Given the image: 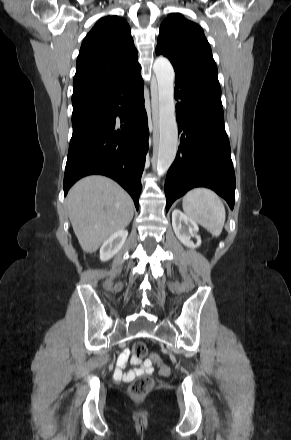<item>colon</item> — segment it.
I'll list each match as a JSON object with an SVG mask.
<instances>
[{"instance_id": "5ec220e1", "label": "colon", "mask_w": 291, "mask_h": 440, "mask_svg": "<svg viewBox=\"0 0 291 440\" xmlns=\"http://www.w3.org/2000/svg\"><path fill=\"white\" fill-rule=\"evenodd\" d=\"M133 354L135 359H143L148 356V350L143 342H135L133 345ZM151 359L157 364L159 372L166 374L169 372V367L165 365L159 357L153 355ZM152 389V382L146 377L137 378L129 386V393L132 397L140 399L145 397Z\"/></svg>"}]
</instances>
